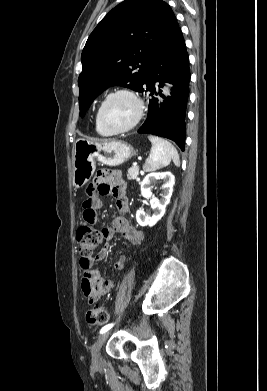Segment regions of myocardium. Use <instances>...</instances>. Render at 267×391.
Returning a JSON list of instances; mask_svg holds the SVG:
<instances>
[{
  "label": "myocardium",
  "instance_id": "f54148a6",
  "mask_svg": "<svg viewBox=\"0 0 267 391\" xmlns=\"http://www.w3.org/2000/svg\"><path fill=\"white\" fill-rule=\"evenodd\" d=\"M117 95H127V96H129L135 102L136 107H137L136 115H135V118L133 119V121L129 125H127L125 127H121V128H113V127L109 126L105 122L104 117H103V110H104V107H105L106 103L108 102L109 99H111L112 97L117 96ZM143 114H144V103H143L142 99L140 98V96L135 91H133L131 89H128V88H118V89H115V90L109 92L103 98V100L101 101V103L99 105L98 111H97V118H98V121H99L100 125L106 131H108V132H110L112 134H119V133H124V132L130 131L134 127H136L137 124L142 119Z\"/></svg>",
  "mask_w": 267,
  "mask_h": 391
}]
</instances>
